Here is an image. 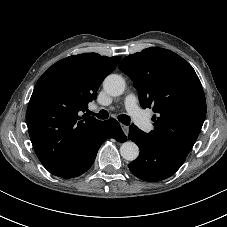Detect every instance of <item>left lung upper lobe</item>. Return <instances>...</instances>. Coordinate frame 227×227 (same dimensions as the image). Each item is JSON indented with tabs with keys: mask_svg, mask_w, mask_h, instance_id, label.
<instances>
[{
	"mask_svg": "<svg viewBox=\"0 0 227 227\" xmlns=\"http://www.w3.org/2000/svg\"><path fill=\"white\" fill-rule=\"evenodd\" d=\"M119 68L133 80L142 107L156 113L151 138L186 157L206 116L205 95L192 66L170 50L151 47L126 56Z\"/></svg>",
	"mask_w": 227,
	"mask_h": 227,
	"instance_id": "obj_1",
	"label": "left lung upper lobe"
}]
</instances>
